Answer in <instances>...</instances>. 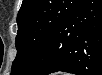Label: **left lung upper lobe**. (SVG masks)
Instances as JSON below:
<instances>
[{
    "mask_svg": "<svg viewBox=\"0 0 102 75\" xmlns=\"http://www.w3.org/2000/svg\"><path fill=\"white\" fill-rule=\"evenodd\" d=\"M83 0H23L17 16V55L12 74H28L57 27Z\"/></svg>",
    "mask_w": 102,
    "mask_h": 75,
    "instance_id": "obj_1",
    "label": "left lung upper lobe"
}]
</instances>
